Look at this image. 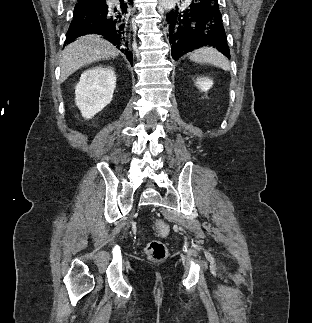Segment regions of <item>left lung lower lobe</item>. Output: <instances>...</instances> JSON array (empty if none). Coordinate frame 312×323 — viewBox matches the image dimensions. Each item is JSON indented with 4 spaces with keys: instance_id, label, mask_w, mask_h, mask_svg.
<instances>
[{
    "instance_id": "obj_1",
    "label": "left lung lower lobe",
    "mask_w": 312,
    "mask_h": 323,
    "mask_svg": "<svg viewBox=\"0 0 312 323\" xmlns=\"http://www.w3.org/2000/svg\"><path fill=\"white\" fill-rule=\"evenodd\" d=\"M191 1L185 9L176 7L166 16L172 57L177 60L202 46L216 47L230 57L218 0Z\"/></svg>"
}]
</instances>
